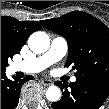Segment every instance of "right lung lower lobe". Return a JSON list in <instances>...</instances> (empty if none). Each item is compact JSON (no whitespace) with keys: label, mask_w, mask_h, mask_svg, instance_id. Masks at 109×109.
<instances>
[{"label":"right lung lower lobe","mask_w":109,"mask_h":109,"mask_svg":"<svg viewBox=\"0 0 109 109\" xmlns=\"http://www.w3.org/2000/svg\"><path fill=\"white\" fill-rule=\"evenodd\" d=\"M32 78L28 75L24 79L14 77V80H10L5 72H1V109H14L19 101L21 86Z\"/></svg>","instance_id":"98d812e1"}]
</instances>
